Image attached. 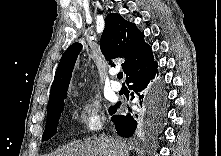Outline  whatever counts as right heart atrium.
Segmentation results:
<instances>
[{"label": "right heart atrium", "mask_w": 221, "mask_h": 156, "mask_svg": "<svg viewBox=\"0 0 221 156\" xmlns=\"http://www.w3.org/2000/svg\"><path fill=\"white\" fill-rule=\"evenodd\" d=\"M76 123L87 131H98L103 126V115L96 99H86L75 111Z\"/></svg>", "instance_id": "right-heart-atrium-1"}]
</instances>
